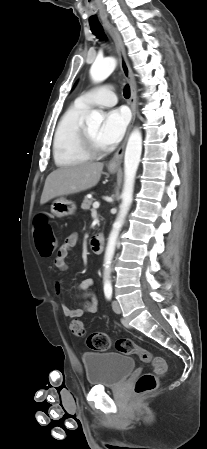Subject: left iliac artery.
I'll use <instances>...</instances> for the list:
<instances>
[{
    "label": "left iliac artery",
    "mask_w": 207,
    "mask_h": 449,
    "mask_svg": "<svg viewBox=\"0 0 207 449\" xmlns=\"http://www.w3.org/2000/svg\"><path fill=\"white\" fill-rule=\"evenodd\" d=\"M104 294L108 300H110L112 298V286L111 285L104 286Z\"/></svg>",
    "instance_id": "obj_1"
}]
</instances>
